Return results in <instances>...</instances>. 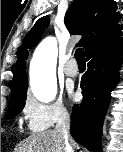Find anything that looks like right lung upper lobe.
<instances>
[{"mask_svg": "<svg viewBox=\"0 0 123 152\" xmlns=\"http://www.w3.org/2000/svg\"><path fill=\"white\" fill-rule=\"evenodd\" d=\"M116 9V3L113 0H73L64 21L72 34L83 35L78 45L85 47L86 56L123 29V25L119 24L122 15L116 12ZM48 23L47 16L40 18L25 36L16 63L11 93L27 87L25 72L27 49L38 43Z\"/></svg>", "mask_w": 123, "mask_h": 152, "instance_id": "cb5924a9", "label": "right lung upper lobe"}]
</instances>
